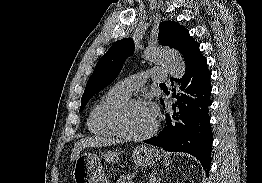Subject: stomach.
Wrapping results in <instances>:
<instances>
[{"instance_id": "obj_1", "label": "stomach", "mask_w": 262, "mask_h": 183, "mask_svg": "<svg viewBox=\"0 0 262 183\" xmlns=\"http://www.w3.org/2000/svg\"><path fill=\"white\" fill-rule=\"evenodd\" d=\"M102 156L109 163L119 160V153L114 150H107ZM132 157L134 162L143 167L152 166L161 158V153L155 147L138 146L133 150ZM73 180L75 183H109L102 168L100 158L96 154H81L73 167Z\"/></svg>"}]
</instances>
